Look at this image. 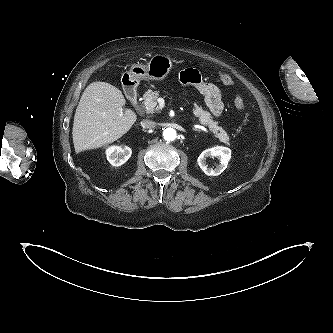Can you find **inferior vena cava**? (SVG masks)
Listing matches in <instances>:
<instances>
[{"label":"inferior vena cava","mask_w":333,"mask_h":333,"mask_svg":"<svg viewBox=\"0 0 333 333\" xmlns=\"http://www.w3.org/2000/svg\"><path fill=\"white\" fill-rule=\"evenodd\" d=\"M156 125L155 122L151 121V120H143L141 121V126L143 128H147V129H150V128H154Z\"/></svg>","instance_id":"602c4592"}]
</instances>
